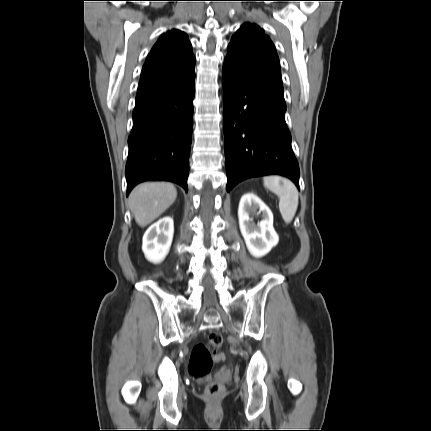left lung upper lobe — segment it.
Returning a JSON list of instances; mask_svg holds the SVG:
<instances>
[{
	"instance_id": "5c2ea615",
	"label": "left lung upper lobe",
	"mask_w": 431,
	"mask_h": 431,
	"mask_svg": "<svg viewBox=\"0 0 431 431\" xmlns=\"http://www.w3.org/2000/svg\"><path fill=\"white\" fill-rule=\"evenodd\" d=\"M223 70L284 97L275 46L255 24H244L233 36Z\"/></svg>"
}]
</instances>
